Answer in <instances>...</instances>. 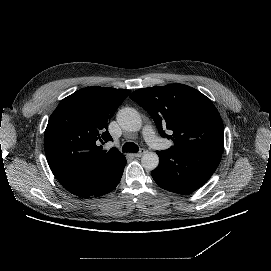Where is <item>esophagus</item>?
I'll use <instances>...</instances> for the list:
<instances>
[{
  "label": "esophagus",
  "instance_id": "34e87169",
  "mask_svg": "<svg viewBox=\"0 0 271 271\" xmlns=\"http://www.w3.org/2000/svg\"><path fill=\"white\" fill-rule=\"evenodd\" d=\"M145 152V149H141L139 152L134 154V157L140 158L141 156H143V154H145Z\"/></svg>",
  "mask_w": 271,
  "mask_h": 271
}]
</instances>
